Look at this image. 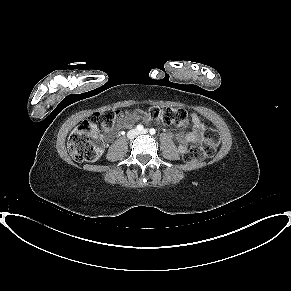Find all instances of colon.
Segmentation results:
<instances>
[{
	"instance_id": "colon-1",
	"label": "colon",
	"mask_w": 291,
	"mask_h": 291,
	"mask_svg": "<svg viewBox=\"0 0 291 291\" xmlns=\"http://www.w3.org/2000/svg\"><path fill=\"white\" fill-rule=\"evenodd\" d=\"M123 113L117 109H105L93 113L71 133L68 138V150L71 157L78 162H94L101 154L100 132L110 130ZM134 118L148 117L151 120L168 125L182 124L187 120V112L183 109L152 106L147 111L137 109ZM220 142L219 133L215 129L205 131L203 141L193 145L185 153L186 162H197L214 154Z\"/></svg>"
}]
</instances>
